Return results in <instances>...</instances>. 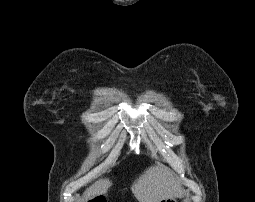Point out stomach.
<instances>
[{"instance_id":"obj_1","label":"stomach","mask_w":255,"mask_h":202,"mask_svg":"<svg viewBox=\"0 0 255 202\" xmlns=\"http://www.w3.org/2000/svg\"><path fill=\"white\" fill-rule=\"evenodd\" d=\"M160 202H179L175 197L162 199Z\"/></svg>"}]
</instances>
